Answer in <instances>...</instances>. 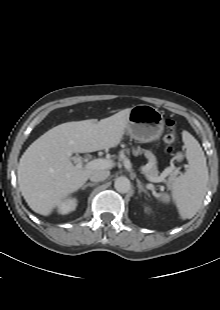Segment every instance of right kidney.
<instances>
[{
    "mask_svg": "<svg viewBox=\"0 0 220 310\" xmlns=\"http://www.w3.org/2000/svg\"><path fill=\"white\" fill-rule=\"evenodd\" d=\"M77 206V199L76 198H68L63 200L58 205V212L60 214H68L76 209Z\"/></svg>",
    "mask_w": 220,
    "mask_h": 310,
    "instance_id": "obj_1",
    "label": "right kidney"
}]
</instances>
